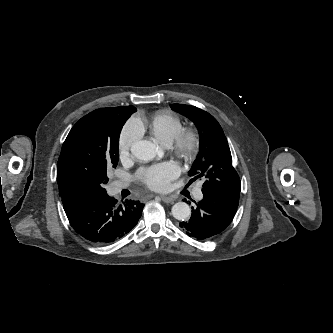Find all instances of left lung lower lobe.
Returning <instances> with one entry per match:
<instances>
[{"label":"left lung lower lobe","mask_w":333,"mask_h":333,"mask_svg":"<svg viewBox=\"0 0 333 333\" xmlns=\"http://www.w3.org/2000/svg\"><path fill=\"white\" fill-rule=\"evenodd\" d=\"M203 199L192 208L189 221L180 223L186 233L199 240L221 233L233 220L239 203V194H215L202 189Z\"/></svg>","instance_id":"left-lung-lower-lobe-1"}]
</instances>
